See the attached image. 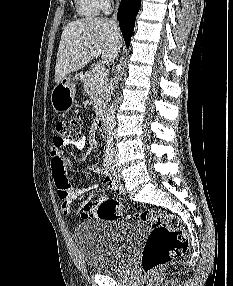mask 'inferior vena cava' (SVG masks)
I'll list each match as a JSON object with an SVG mask.
<instances>
[{"label":"inferior vena cava","instance_id":"obj_1","mask_svg":"<svg viewBox=\"0 0 233 286\" xmlns=\"http://www.w3.org/2000/svg\"><path fill=\"white\" fill-rule=\"evenodd\" d=\"M116 17H117V9H116V11H115V13H114V15H113V18H112V21H113V22H115Z\"/></svg>","mask_w":233,"mask_h":286}]
</instances>
